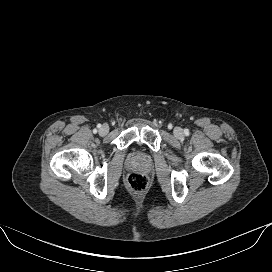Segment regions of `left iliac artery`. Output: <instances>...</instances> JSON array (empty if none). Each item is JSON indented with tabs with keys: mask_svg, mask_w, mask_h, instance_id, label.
Listing matches in <instances>:
<instances>
[{
	"mask_svg": "<svg viewBox=\"0 0 272 272\" xmlns=\"http://www.w3.org/2000/svg\"><path fill=\"white\" fill-rule=\"evenodd\" d=\"M184 132H185V134H188V130H185Z\"/></svg>",
	"mask_w": 272,
	"mask_h": 272,
	"instance_id": "1",
	"label": "left iliac artery"
}]
</instances>
